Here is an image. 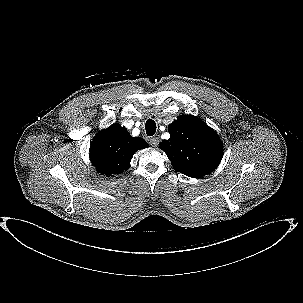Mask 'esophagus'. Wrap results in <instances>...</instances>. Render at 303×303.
Instances as JSON below:
<instances>
[{
  "instance_id": "34e87169",
  "label": "esophagus",
  "mask_w": 303,
  "mask_h": 303,
  "mask_svg": "<svg viewBox=\"0 0 303 303\" xmlns=\"http://www.w3.org/2000/svg\"><path fill=\"white\" fill-rule=\"evenodd\" d=\"M149 143L152 147H156L159 144V138L152 137V138H150Z\"/></svg>"
}]
</instances>
